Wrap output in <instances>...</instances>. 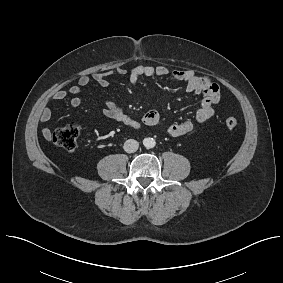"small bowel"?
Wrapping results in <instances>:
<instances>
[{"instance_id": "1", "label": "small bowel", "mask_w": 283, "mask_h": 283, "mask_svg": "<svg viewBox=\"0 0 283 283\" xmlns=\"http://www.w3.org/2000/svg\"><path fill=\"white\" fill-rule=\"evenodd\" d=\"M127 75L131 83H137L142 77H159L163 78L170 75L174 82L183 83L187 91L202 94L203 100L198 106L194 119L186 120L183 122L171 123L164 125L162 123L161 115L156 110H150L146 112L141 120L134 119L127 113H125L116 102H106L104 104V114L117 122L124 124L127 127L138 130L143 125L159 127L166 134L172 137H179L192 132L197 124H202L210 119L214 113V106L221 100V93L219 86L213 82L207 76H201L196 74L193 70H170L163 65H137L130 70L118 68L116 70L98 72L91 77L82 76L78 80L77 85L71 86L68 90H58L53 94V100L62 101L71 95L70 105L77 107L83 103V99L80 97L81 88L88 86L92 81L100 85L101 87H108V78L111 76H125ZM52 117V110L50 107L45 106L41 112L40 119L43 122H48ZM44 135H49L48 128L43 130Z\"/></svg>"}]
</instances>
